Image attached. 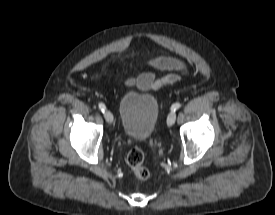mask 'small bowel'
Here are the masks:
<instances>
[{
  "instance_id": "c3829d8e",
  "label": "small bowel",
  "mask_w": 275,
  "mask_h": 215,
  "mask_svg": "<svg viewBox=\"0 0 275 215\" xmlns=\"http://www.w3.org/2000/svg\"><path fill=\"white\" fill-rule=\"evenodd\" d=\"M186 70V64L175 57L156 55L146 64V70L138 77H129L125 81L128 87H135L142 91H156L165 84L175 83L181 78ZM170 71L171 73L156 78V72Z\"/></svg>"
}]
</instances>
